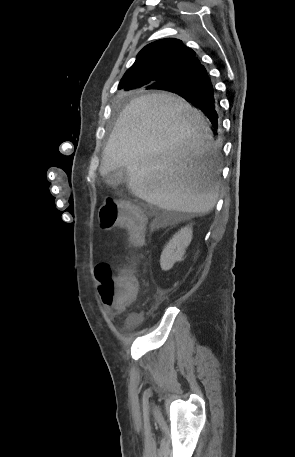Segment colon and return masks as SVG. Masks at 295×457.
Returning <instances> with one entry per match:
<instances>
[{"instance_id": "obj_1", "label": "colon", "mask_w": 295, "mask_h": 457, "mask_svg": "<svg viewBox=\"0 0 295 457\" xmlns=\"http://www.w3.org/2000/svg\"><path fill=\"white\" fill-rule=\"evenodd\" d=\"M99 225L103 229H111L117 225L125 227L130 231L135 245L143 243L145 217L131 203L118 202L112 198L106 199L99 210ZM95 275L99 282L102 302L107 307L119 311L135 300L139 285L130 272L114 275L109 265L102 263L96 266Z\"/></svg>"}]
</instances>
